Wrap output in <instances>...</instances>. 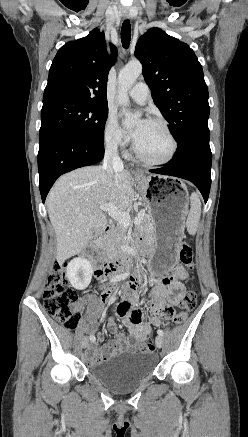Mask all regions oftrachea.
I'll list each match as a JSON object with an SVG mask.
<instances>
[{"label": "trachea", "instance_id": "1", "mask_svg": "<svg viewBox=\"0 0 248 437\" xmlns=\"http://www.w3.org/2000/svg\"><path fill=\"white\" fill-rule=\"evenodd\" d=\"M131 40V26L129 20H125L121 28V41L125 49L129 48Z\"/></svg>", "mask_w": 248, "mask_h": 437}]
</instances>
